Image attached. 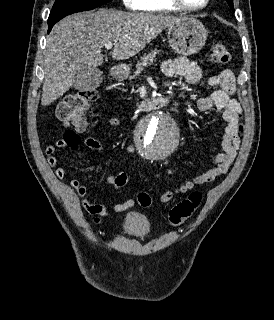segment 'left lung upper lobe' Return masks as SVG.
Instances as JSON below:
<instances>
[{
	"label": "left lung upper lobe",
	"instance_id": "obj_1",
	"mask_svg": "<svg viewBox=\"0 0 274 320\" xmlns=\"http://www.w3.org/2000/svg\"><path fill=\"white\" fill-rule=\"evenodd\" d=\"M226 1H227V3L229 4L230 8H231L232 10H234L233 0H226Z\"/></svg>",
	"mask_w": 274,
	"mask_h": 320
}]
</instances>
